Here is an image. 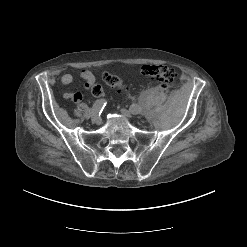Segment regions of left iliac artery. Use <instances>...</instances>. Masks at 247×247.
I'll return each instance as SVG.
<instances>
[{"mask_svg":"<svg viewBox=\"0 0 247 247\" xmlns=\"http://www.w3.org/2000/svg\"><path fill=\"white\" fill-rule=\"evenodd\" d=\"M141 111V108L138 104H132L130 108V113L132 115H138Z\"/></svg>","mask_w":247,"mask_h":247,"instance_id":"1","label":"left iliac artery"}]
</instances>
